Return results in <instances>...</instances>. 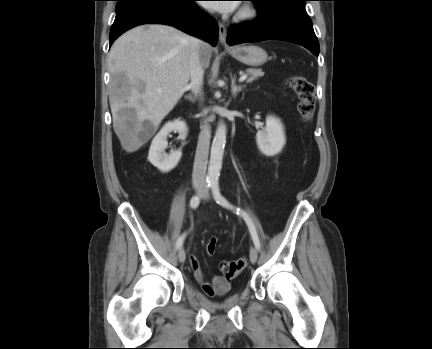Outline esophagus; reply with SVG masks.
Here are the masks:
<instances>
[{
	"label": "esophagus",
	"mask_w": 432,
	"mask_h": 349,
	"mask_svg": "<svg viewBox=\"0 0 432 349\" xmlns=\"http://www.w3.org/2000/svg\"><path fill=\"white\" fill-rule=\"evenodd\" d=\"M227 29L224 24L219 23V41L222 45L227 46Z\"/></svg>",
	"instance_id": "obj_1"
}]
</instances>
